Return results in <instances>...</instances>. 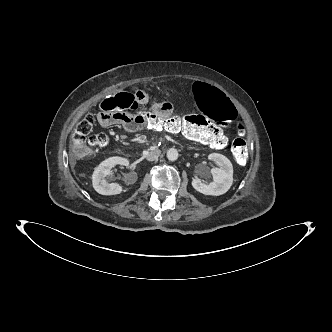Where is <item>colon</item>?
Masks as SVG:
<instances>
[{"mask_svg": "<svg viewBox=\"0 0 332 332\" xmlns=\"http://www.w3.org/2000/svg\"><path fill=\"white\" fill-rule=\"evenodd\" d=\"M189 101L195 115H174L167 117L155 115L151 109L143 110L138 106L136 94L120 92L104 99L100 110L128 111L141 115L142 123L151 133L166 131L180 133L190 140L211 145L218 149L227 146V138L219 127L231 126L238 117L237 105L217 86L209 85L204 81H194L190 84ZM211 120L213 123H211ZM95 117L86 115L76 125L72 136V149L76 156L87 154L89 147H103L108 142L106 133H95L93 126ZM232 152L239 164H244L248 157V146L243 138L242 130L232 143Z\"/></svg>", "mask_w": 332, "mask_h": 332, "instance_id": "obj_1", "label": "colon"}]
</instances>
